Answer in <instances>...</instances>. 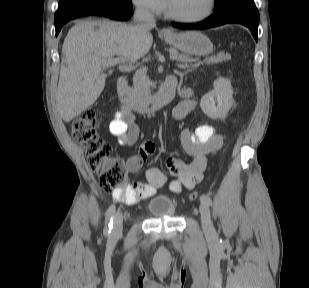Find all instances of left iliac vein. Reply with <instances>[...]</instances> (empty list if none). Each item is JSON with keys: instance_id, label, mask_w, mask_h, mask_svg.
<instances>
[{"instance_id": "left-iliac-vein-1", "label": "left iliac vein", "mask_w": 309, "mask_h": 288, "mask_svg": "<svg viewBox=\"0 0 309 288\" xmlns=\"http://www.w3.org/2000/svg\"><path fill=\"white\" fill-rule=\"evenodd\" d=\"M199 211L201 214V222H202V228L204 232L206 234H213L214 227L211 221L210 210H209L208 205L205 202H201Z\"/></svg>"}]
</instances>
